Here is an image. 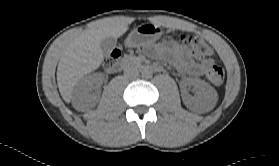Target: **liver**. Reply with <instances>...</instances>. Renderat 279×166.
<instances>
[{
    "label": "liver",
    "instance_id": "liver-1",
    "mask_svg": "<svg viewBox=\"0 0 279 166\" xmlns=\"http://www.w3.org/2000/svg\"><path fill=\"white\" fill-rule=\"evenodd\" d=\"M122 17L103 19L96 28L84 30L62 51L57 68V83L64 101L70 102L76 84L103 62L100 43L104 38H119L128 30Z\"/></svg>",
    "mask_w": 279,
    "mask_h": 166
}]
</instances>
